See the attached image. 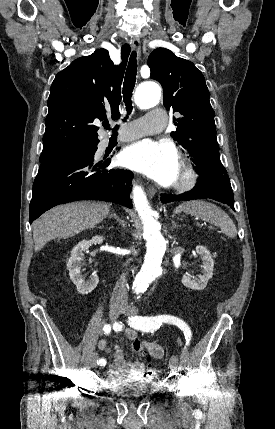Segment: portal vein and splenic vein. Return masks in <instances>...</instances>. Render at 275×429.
Segmentation results:
<instances>
[{
	"mask_svg": "<svg viewBox=\"0 0 275 429\" xmlns=\"http://www.w3.org/2000/svg\"><path fill=\"white\" fill-rule=\"evenodd\" d=\"M209 228H210L211 230H216V228H214L213 226H209Z\"/></svg>",
	"mask_w": 275,
	"mask_h": 429,
	"instance_id": "portal-vein-and-splenic-vein-1",
	"label": "portal vein and splenic vein"
}]
</instances>
